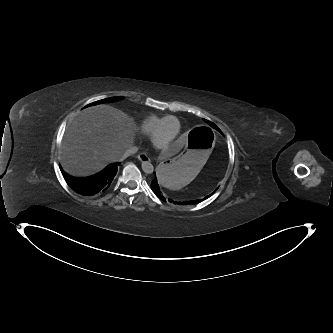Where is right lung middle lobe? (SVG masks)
Masks as SVG:
<instances>
[{
  "label": "right lung middle lobe",
  "instance_id": "obj_1",
  "mask_svg": "<svg viewBox=\"0 0 333 333\" xmlns=\"http://www.w3.org/2000/svg\"><path fill=\"white\" fill-rule=\"evenodd\" d=\"M123 97H111V98H106V99H103V100H99V101H96V102H93L91 103L90 105H96V104H99V103H104V102H113V101H117L119 99H122ZM88 105V106H90Z\"/></svg>",
  "mask_w": 333,
  "mask_h": 333
}]
</instances>
